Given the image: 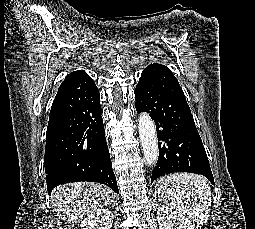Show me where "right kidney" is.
<instances>
[{"instance_id":"ca27d5eb","label":"right kidney","mask_w":255,"mask_h":229,"mask_svg":"<svg viewBox=\"0 0 255 229\" xmlns=\"http://www.w3.org/2000/svg\"><path fill=\"white\" fill-rule=\"evenodd\" d=\"M113 218L108 208L96 209L81 222V229H111Z\"/></svg>"}]
</instances>
